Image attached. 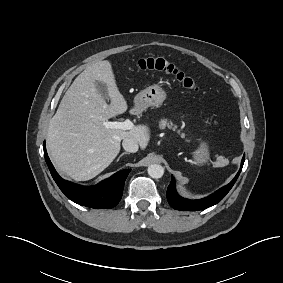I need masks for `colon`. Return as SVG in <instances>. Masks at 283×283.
Instances as JSON below:
<instances>
[{
    "label": "colon",
    "mask_w": 283,
    "mask_h": 283,
    "mask_svg": "<svg viewBox=\"0 0 283 283\" xmlns=\"http://www.w3.org/2000/svg\"><path fill=\"white\" fill-rule=\"evenodd\" d=\"M140 71H156L173 76L185 89L198 91L199 88L193 78L186 75L175 65L163 58L147 57L140 59L137 63Z\"/></svg>",
    "instance_id": "1"
}]
</instances>
